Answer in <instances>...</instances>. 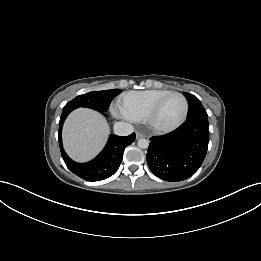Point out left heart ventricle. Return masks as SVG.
<instances>
[{
	"label": "left heart ventricle",
	"mask_w": 261,
	"mask_h": 261,
	"mask_svg": "<svg viewBox=\"0 0 261 261\" xmlns=\"http://www.w3.org/2000/svg\"><path fill=\"white\" fill-rule=\"evenodd\" d=\"M183 110V100L176 95L170 96L158 109L154 118V123L160 127L171 126L181 118Z\"/></svg>",
	"instance_id": "b2bd125f"
}]
</instances>
